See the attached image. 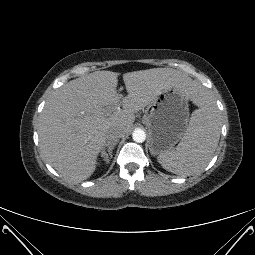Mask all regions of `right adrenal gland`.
<instances>
[{
    "label": "right adrenal gland",
    "mask_w": 255,
    "mask_h": 255,
    "mask_svg": "<svg viewBox=\"0 0 255 255\" xmlns=\"http://www.w3.org/2000/svg\"><path fill=\"white\" fill-rule=\"evenodd\" d=\"M116 146V143L108 146L107 148H103L102 150V156L104 157L106 162H109L110 159L112 158V151L114 149V147Z\"/></svg>",
    "instance_id": "right-adrenal-gland-1"
}]
</instances>
